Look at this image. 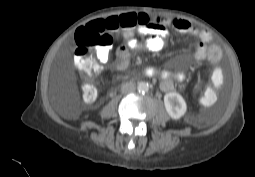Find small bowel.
<instances>
[{
    "mask_svg": "<svg viewBox=\"0 0 255 177\" xmlns=\"http://www.w3.org/2000/svg\"><path fill=\"white\" fill-rule=\"evenodd\" d=\"M83 27L85 28L86 25ZM168 27L199 38L200 42L194 49V57L198 62L208 60L212 64H216L221 59V49L216 45H210L212 36L208 31L201 30L182 18H165L158 16L154 18L148 26L137 29L136 35H129L125 38L124 43L118 47L115 52L116 68L118 70L126 69L130 63L132 53L135 50L145 49L152 52L163 50L169 36ZM141 39H143V41H141ZM110 54L111 46L98 49L96 52L97 62L101 65L107 63ZM143 73L148 77H161L160 87L163 91L172 90L174 88V80L182 82L185 79L183 72L160 70L154 67L146 68Z\"/></svg>",
    "mask_w": 255,
    "mask_h": 177,
    "instance_id": "obj_1",
    "label": "small bowel"
}]
</instances>
